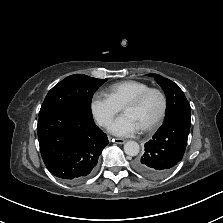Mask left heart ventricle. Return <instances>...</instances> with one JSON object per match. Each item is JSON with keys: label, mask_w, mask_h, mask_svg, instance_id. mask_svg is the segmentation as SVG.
<instances>
[{"label": "left heart ventricle", "mask_w": 223, "mask_h": 223, "mask_svg": "<svg viewBox=\"0 0 223 223\" xmlns=\"http://www.w3.org/2000/svg\"><path fill=\"white\" fill-rule=\"evenodd\" d=\"M161 109V96L158 93H151L140 105L124 109V114L133 118L141 129L151 124L159 116Z\"/></svg>", "instance_id": "obj_1"}]
</instances>
